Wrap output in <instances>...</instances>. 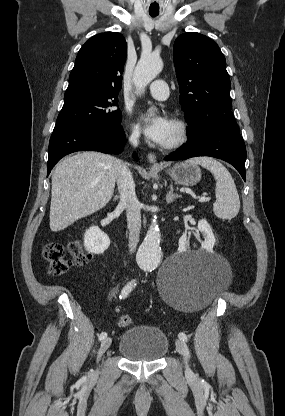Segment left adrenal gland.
Masks as SVG:
<instances>
[{"mask_svg":"<svg viewBox=\"0 0 285 416\" xmlns=\"http://www.w3.org/2000/svg\"><path fill=\"white\" fill-rule=\"evenodd\" d=\"M173 192H174L173 184H170V192H168L166 196V202H168V204H171V202H173L175 198H181L179 194H173Z\"/></svg>","mask_w":285,"mask_h":416,"instance_id":"a2214340","label":"left adrenal gland"}]
</instances>
